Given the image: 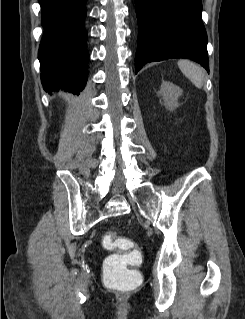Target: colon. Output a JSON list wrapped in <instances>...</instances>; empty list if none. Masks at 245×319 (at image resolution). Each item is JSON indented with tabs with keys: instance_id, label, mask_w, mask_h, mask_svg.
Returning <instances> with one entry per match:
<instances>
[{
	"instance_id": "obj_1",
	"label": "colon",
	"mask_w": 245,
	"mask_h": 319,
	"mask_svg": "<svg viewBox=\"0 0 245 319\" xmlns=\"http://www.w3.org/2000/svg\"><path fill=\"white\" fill-rule=\"evenodd\" d=\"M106 250H118L106 259L105 280L112 286L133 288L140 284L138 273L131 267L140 262V254L132 240L108 233L101 240Z\"/></svg>"
}]
</instances>
